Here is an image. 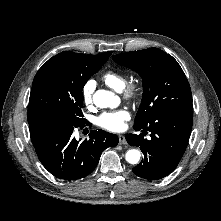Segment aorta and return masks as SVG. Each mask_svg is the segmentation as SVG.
<instances>
[{"instance_id":"762f6f07","label":"aorta","mask_w":221,"mask_h":221,"mask_svg":"<svg viewBox=\"0 0 221 221\" xmlns=\"http://www.w3.org/2000/svg\"><path fill=\"white\" fill-rule=\"evenodd\" d=\"M93 102L99 108H107L114 105L116 97L114 93L107 90H97L93 95ZM141 154L136 149H130L126 152V161L130 164H137L140 161Z\"/></svg>"}]
</instances>
